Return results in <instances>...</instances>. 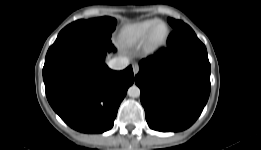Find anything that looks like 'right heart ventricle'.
<instances>
[{
  "label": "right heart ventricle",
  "instance_id": "obj_1",
  "mask_svg": "<svg viewBox=\"0 0 261 150\" xmlns=\"http://www.w3.org/2000/svg\"><path fill=\"white\" fill-rule=\"evenodd\" d=\"M158 21L156 18H151L128 24L122 31L123 41L129 44H135L145 40L150 29Z\"/></svg>",
  "mask_w": 261,
  "mask_h": 150
}]
</instances>
